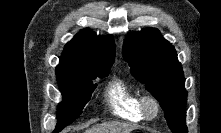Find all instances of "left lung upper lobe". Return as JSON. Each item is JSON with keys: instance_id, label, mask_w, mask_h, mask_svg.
I'll list each match as a JSON object with an SVG mask.
<instances>
[{"instance_id": "obj_1", "label": "left lung upper lobe", "mask_w": 221, "mask_h": 133, "mask_svg": "<svg viewBox=\"0 0 221 133\" xmlns=\"http://www.w3.org/2000/svg\"><path fill=\"white\" fill-rule=\"evenodd\" d=\"M123 56L132 75L160 102L173 133H187V93L181 64L174 47L155 28L127 36Z\"/></svg>"}]
</instances>
